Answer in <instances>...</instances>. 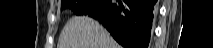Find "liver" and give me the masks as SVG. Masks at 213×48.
I'll list each match as a JSON object with an SVG mask.
<instances>
[{
	"label": "liver",
	"instance_id": "1",
	"mask_svg": "<svg viewBox=\"0 0 213 48\" xmlns=\"http://www.w3.org/2000/svg\"><path fill=\"white\" fill-rule=\"evenodd\" d=\"M57 48H121L108 31L97 21L72 17L65 24Z\"/></svg>",
	"mask_w": 213,
	"mask_h": 48
}]
</instances>
